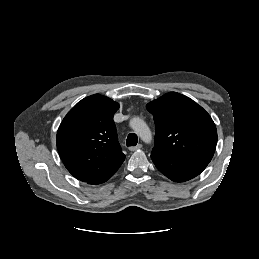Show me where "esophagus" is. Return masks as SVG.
<instances>
[{"instance_id":"esophagus-1","label":"esophagus","mask_w":259,"mask_h":259,"mask_svg":"<svg viewBox=\"0 0 259 259\" xmlns=\"http://www.w3.org/2000/svg\"><path fill=\"white\" fill-rule=\"evenodd\" d=\"M142 148V144H138L136 146H132L129 148L130 151H136Z\"/></svg>"}]
</instances>
